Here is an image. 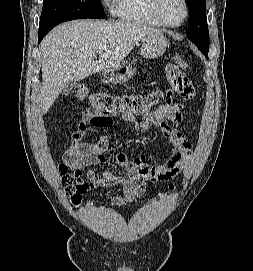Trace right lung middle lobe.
Listing matches in <instances>:
<instances>
[{
	"mask_svg": "<svg viewBox=\"0 0 253 271\" xmlns=\"http://www.w3.org/2000/svg\"><path fill=\"white\" fill-rule=\"evenodd\" d=\"M104 17L100 0H44L39 32H49L64 21Z\"/></svg>",
	"mask_w": 253,
	"mask_h": 271,
	"instance_id": "right-lung-middle-lobe-1",
	"label": "right lung middle lobe"
}]
</instances>
